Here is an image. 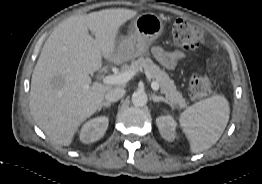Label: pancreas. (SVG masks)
<instances>
[{
    "label": "pancreas",
    "instance_id": "obj_1",
    "mask_svg": "<svg viewBox=\"0 0 262 184\" xmlns=\"http://www.w3.org/2000/svg\"><path fill=\"white\" fill-rule=\"evenodd\" d=\"M129 68L136 71L148 72L150 77L159 84L161 93L165 95L172 105L179 108L186 107V101L182 94L177 91L174 81L169 78L165 71L161 70L156 64H154L149 57H139L137 60H133L129 67L123 66L122 70L126 71Z\"/></svg>",
    "mask_w": 262,
    "mask_h": 184
}]
</instances>
